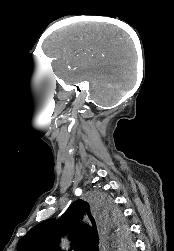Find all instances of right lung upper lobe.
<instances>
[{
    "label": "right lung upper lobe",
    "mask_w": 174,
    "mask_h": 251,
    "mask_svg": "<svg viewBox=\"0 0 174 251\" xmlns=\"http://www.w3.org/2000/svg\"><path fill=\"white\" fill-rule=\"evenodd\" d=\"M94 208L81 199L75 201L60 220L49 219L33 227L19 240L17 250L58 251L60 237L68 231L73 250L99 251L100 236L96 222L90 213ZM85 213L88 215L92 227L82 223V216ZM98 225L103 229L100 218Z\"/></svg>",
    "instance_id": "cb5924a9"
}]
</instances>
